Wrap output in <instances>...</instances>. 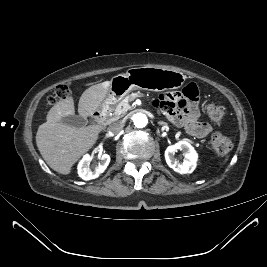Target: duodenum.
Here are the masks:
<instances>
[{"mask_svg": "<svg viewBox=\"0 0 267 267\" xmlns=\"http://www.w3.org/2000/svg\"><path fill=\"white\" fill-rule=\"evenodd\" d=\"M107 110L105 108L97 109L92 114V119L99 125H104L106 120Z\"/></svg>", "mask_w": 267, "mask_h": 267, "instance_id": "410a0bca", "label": "duodenum"}]
</instances>
